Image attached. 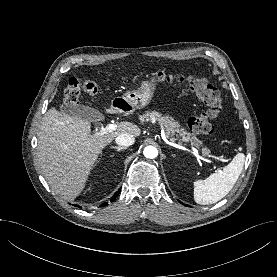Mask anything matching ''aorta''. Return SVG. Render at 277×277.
<instances>
[{"label":"aorta","instance_id":"obj_1","mask_svg":"<svg viewBox=\"0 0 277 277\" xmlns=\"http://www.w3.org/2000/svg\"><path fill=\"white\" fill-rule=\"evenodd\" d=\"M143 154L146 158H155L158 155V150L154 146H147L144 148Z\"/></svg>","mask_w":277,"mask_h":277}]
</instances>
